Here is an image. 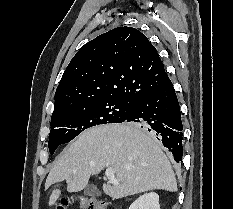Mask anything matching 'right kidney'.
I'll use <instances>...</instances> for the list:
<instances>
[{
  "label": "right kidney",
  "mask_w": 233,
  "mask_h": 209,
  "mask_svg": "<svg viewBox=\"0 0 233 209\" xmlns=\"http://www.w3.org/2000/svg\"><path fill=\"white\" fill-rule=\"evenodd\" d=\"M129 209H160L159 195L155 192L146 193L135 200Z\"/></svg>",
  "instance_id": "1"
}]
</instances>
